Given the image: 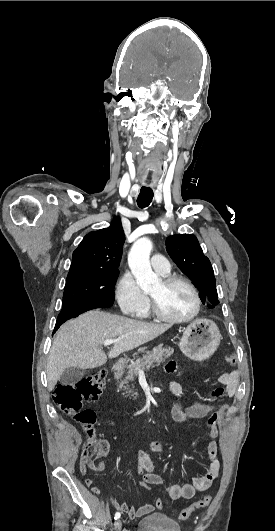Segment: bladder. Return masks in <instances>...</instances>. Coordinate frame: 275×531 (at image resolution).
Instances as JSON below:
<instances>
[{
	"label": "bladder",
	"instance_id": "31cf9c89",
	"mask_svg": "<svg viewBox=\"0 0 275 531\" xmlns=\"http://www.w3.org/2000/svg\"><path fill=\"white\" fill-rule=\"evenodd\" d=\"M134 531H180V523L166 513H151L139 519Z\"/></svg>",
	"mask_w": 275,
	"mask_h": 531
}]
</instances>
